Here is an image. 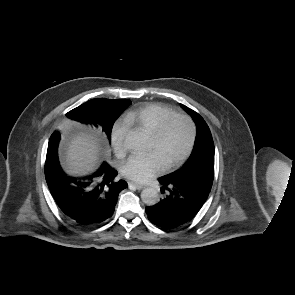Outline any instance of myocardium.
<instances>
[{
  "mask_svg": "<svg viewBox=\"0 0 295 295\" xmlns=\"http://www.w3.org/2000/svg\"><path fill=\"white\" fill-rule=\"evenodd\" d=\"M175 120H184L188 124L189 130H190V137H189V142L185 151L176 160L165 165L164 170L166 171L175 169L179 167L181 164H183L192 153L194 145H195V141H196L197 131H196V125L193 119L188 115L179 114V113L173 114L165 118L159 124V126L151 133V138H153L155 141H160L163 138L164 134L166 133L170 124Z\"/></svg>",
  "mask_w": 295,
  "mask_h": 295,
  "instance_id": "obj_1",
  "label": "myocardium"
}]
</instances>
